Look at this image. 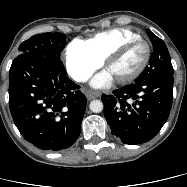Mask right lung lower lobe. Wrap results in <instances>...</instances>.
<instances>
[{
  "mask_svg": "<svg viewBox=\"0 0 187 187\" xmlns=\"http://www.w3.org/2000/svg\"><path fill=\"white\" fill-rule=\"evenodd\" d=\"M9 106L22 136L43 150L70 147L79 137L87 99L60 60L19 54L9 71Z\"/></svg>",
  "mask_w": 187,
  "mask_h": 187,
  "instance_id": "obj_1",
  "label": "right lung lower lobe"
}]
</instances>
